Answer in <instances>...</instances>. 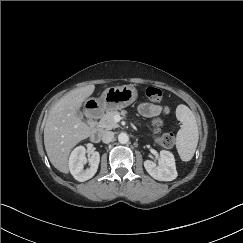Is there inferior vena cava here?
<instances>
[{"label": "inferior vena cava", "mask_w": 243, "mask_h": 243, "mask_svg": "<svg viewBox=\"0 0 243 243\" xmlns=\"http://www.w3.org/2000/svg\"><path fill=\"white\" fill-rule=\"evenodd\" d=\"M114 139V132L106 131L102 135L103 143H110Z\"/></svg>", "instance_id": "obj_1"}]
</instances>
